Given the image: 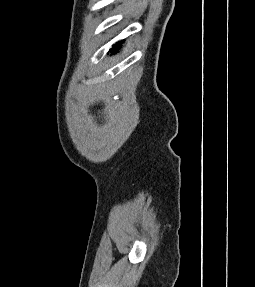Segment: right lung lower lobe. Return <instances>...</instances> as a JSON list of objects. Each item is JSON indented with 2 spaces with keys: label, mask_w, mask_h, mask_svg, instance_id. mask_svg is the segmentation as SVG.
Masks as SVG:
<instances>
[{
  "label": "right lung lower lobe",
  "mask_w": 255,
  "mask_h": 287,
  "mask_svg": "<svg viewBox=\"0 0 255 287\" xmlns=\"http://www.w3.org/2000/svg\"><path fill=\"white\" fill-rule=\"evenodd\" d=\"M119 46H121V42L115 44V45L113 46V49L111 50V52H114L115 50H117V48H118Z\"/></svg>",
  "instance_id": "right-lung-lower-lobe-1"
}]
</instances>
